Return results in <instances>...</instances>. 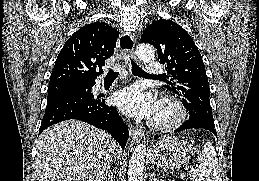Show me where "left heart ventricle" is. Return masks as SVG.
Masks as SVG:
<instances>
[{
    "instance_id": "b2bd125f",
    "label": "left heart ventricle",
    "mask_w": 259,
    "mask_h": 181,
    "mask_svg": "<svg viewBox=\"0 0 259 181\" xmlns=\"http://www.w3.org/2000/svg\"><path fill=\"white\" fill-rule=\"evenodd\" d=\"M167 116H168V112L165 109H162V108L159 107V109H158L154 118L163 119V118H166Z\"/></svg>"
}]
</instances>
